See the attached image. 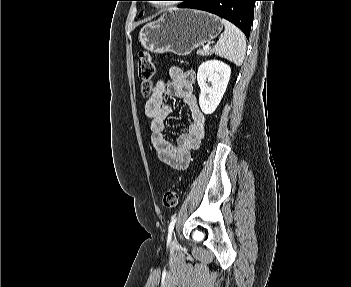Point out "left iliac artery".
<instances>
[{"label":"left iliac artery","instance_id":"44dca946","mask_svg":"<svg viewBox=\"0 0 351 287\" xmlns=\"http://www.w3.org/2000/svg\"><path fill=\"white\" fill-rule=\"evenodd\" d=\"M175 223H176V217L173 216L172 219H171V222H170V224L168 226V237H171V234L173 232Z\"/></svg>","mask_w":351,"mask_h":287}]
</instances>
